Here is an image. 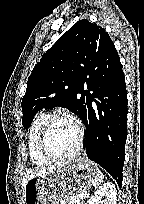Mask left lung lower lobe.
Segmentation results:
<instances>
[{
    "label": "left lung lower lobe",
    "mask_w": 144,
    "mask_h": 204,
    "mask_svg": "<svg viewBox=\"0 0 144 204\" xmlns=\"http://www.w3.org/2000/svg\"><path fill=\"white\" fill-rule=\"evenodd\" d=\"M107 64L105 61L86 72L84 148L87 157L108 171L121 187L127 139V91L120 59Z\"/></svg>",
    "instance_id": "obj_1"
}]
</instances>
